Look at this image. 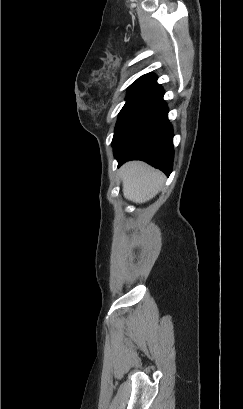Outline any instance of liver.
Segmentation results:
<instances>
[{
    "label": "liver",
    "mask_w": 243,
    "mask_h": 409,
    "mask_svg": "<svg viewBox=\"0 0 243 409\" xmlns=\"http://www.w3.org/2000/svg\"><path fill=\"white\" fill-rule=\"evenodd\" d=\"M124 197L134 203H145L162 189L165 175L142 161H131L121 169Z\"/></svg>",
    "instance_id": "liver-1"
}]
</instances>
